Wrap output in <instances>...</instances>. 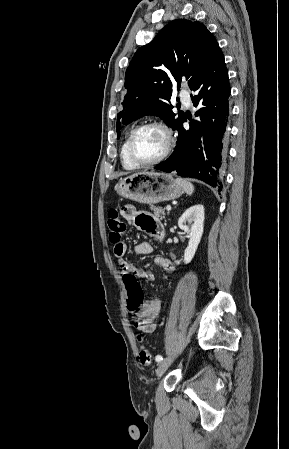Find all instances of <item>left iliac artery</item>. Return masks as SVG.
Wrapping results in <instances>:
<instances>
[{"label": "left iliac artery", "mask_w": 289, "mask_h": 449, "mask_svg": "<svg viewBox=\"0 0 289 449\" xmlns=\"http://www.w3.org/2000/svg\"><path fill=\"white\" fill-rule=\"evenodd\" d=\"M155 360H156L157 362H160V361L163 360V357H162L161 355H157V356L155 357Z\"/></svg>", "instance_id": "44dca946"}]
</instances>
